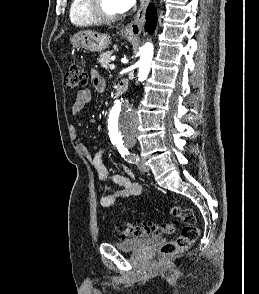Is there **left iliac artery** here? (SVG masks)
Wrapping results in <instances>:
<instances>
[{
  "mask_svg": "<svg viewBox=\"0 0 259 294\" xmlns=\"http://www.w3.org/2000/svg\"><path fill=\"white\" fill-rule=\"evenodd\" d=\"M117 148L121 154L122 157H125L126 155H129V151L127 150V148H125L123 145L121 144H117ZM138 159L135 157V156H132L130 158V162H134V161H137Z\"/></svg>",
  "mask_w": 259,
  "mask_h": 294,
  "instance_id": "obj_1",
  "label": "left iliac artery"
}]
</instances>
